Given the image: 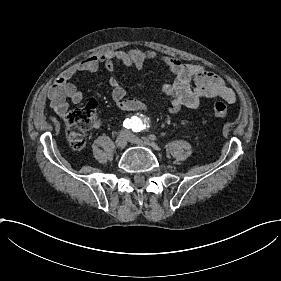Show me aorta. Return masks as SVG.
<instances>
[{"label":"aorta","instance_id":"aorta-1","mask_svg":"<svg viewBox=\"0 0 281 281\" xmlns=\"http://www.w3.org/2000/svg\"><path fill=\"white\" fill-rule=\"evenodd\" d=\"M135 122L141 123V119L136 118Z\"/></svg>","mask_w":281,"mask_h":281}]
</instances>
